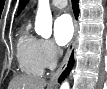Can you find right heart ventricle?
I'll return each mask as SVG.
<instances>
[{
    "label": "right heart ventricle",
    "mask_w": 107,
    "mask_h": 89,
    "mask_svg": "<svg viewBox=\"0 0 107 89\" xmlns=\"http://www.w3.org/2000/svg\"><path fill=\"white\" fill-rule=\"evenodd\" d=\"M17 61L21 71L32 76H40L44 71V64L40 55V39L29 33L26 23L21 31L16 47Z\"/></svg>",
    "instance_id": "1"
}]
</instances>
